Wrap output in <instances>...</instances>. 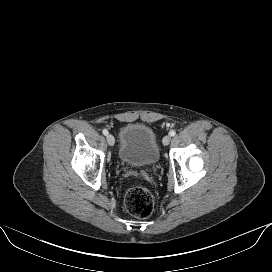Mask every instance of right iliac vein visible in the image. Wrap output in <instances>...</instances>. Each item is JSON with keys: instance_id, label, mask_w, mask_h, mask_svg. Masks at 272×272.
Wrapping results in <instances>:
<instances>
[{"instance_id": "1", "label": "right iliac vein", "mask_w": 272, "mask_h": 272, "mask_svg": "<svg viewBox=\"0 0 272 272\" xmlns=\"http://www.w3.org/2000/svg\"><path fill=\"white\" fill-rule=\"evenodd\" d=\"M107 142L110 146H113L115 144V138L113 137V135H107Z\"/></svg>"}]
</instances>
